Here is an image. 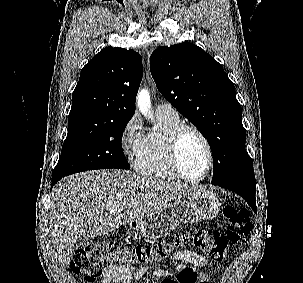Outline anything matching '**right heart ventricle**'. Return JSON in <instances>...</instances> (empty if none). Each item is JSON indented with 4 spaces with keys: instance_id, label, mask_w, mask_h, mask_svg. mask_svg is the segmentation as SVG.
I'll return each instance as SVG.
<instances>
[{
    "instance_id": "obj_1",
    "label": "right heart ventricle",
    "mask_w": 303,
    "mask_h": 283,
    "mask_svg": "<svg viewBox=\"0 0 303 283\" xmlns=\"http://www.w3.org/2000/svg\"><path fill=\"white\" fill-rule=\"evenodd\" d=\"M159 126L149 131L135 159V169L148 178L178 180L167 152V138L174 127L181 123L177 113L156 112Z\"/></svg>"
}]
</instances>
